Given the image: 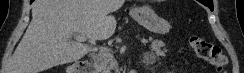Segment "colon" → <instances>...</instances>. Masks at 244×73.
<instances>
[{
    "label": "colon",
    "instance_id": "colon-1",
    "mask_svg": "<svg viewBox=\"0 0 244 73\" xmlns=\"http://www.w3.org/2000/svg\"><path fill=\"white\" fill-rule=\"evenodd\" d=\"M188 43L199 58L208 62L218 73H225L228 61L218 45L195 35L188 38Z\"/></svg>",
    "mask_w": 244,
    "mask_h": 73
}]
</instances>
